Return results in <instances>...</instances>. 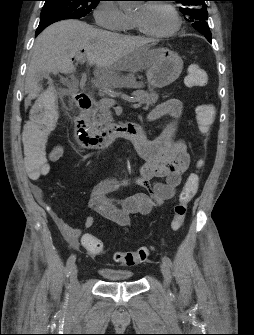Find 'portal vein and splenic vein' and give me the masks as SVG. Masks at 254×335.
<instances>
[{
  "instance_id": "18ae733b",
  "label": "portal vein and splenic vein",
  "mask_w": 254,
  "mask_h": 335,
  "mask_svg": "<svg viewBox=\"0 0 254 335\" xmlns=\"http://www.w3.org/2000/svg\"><path fill=\"white\" fill-rule=\"evenodd\" d=\"M84 57V55L82 53H77L76 54V59L77 60H81ZM103 102L105 103V105L107 106H114L115 104H117V101L111 97H104L103 98ZM131 106L133 108H139L141 106L140 103H136V101H134V103L131 104Z\"/></svg>"
}]
</instances>
